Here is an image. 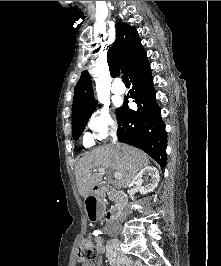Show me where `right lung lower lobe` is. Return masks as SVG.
Segmentation results:
<instances>
[{"mask_svg": "<svg viewBox=\"0 0 221 266\" xmlns=\"http://www.w3.org/2000/svg\"><path fill=\"white\" fill-rule=\"evenodd\" d=\"M129 78L133 86L128 96L134 99L138 108L130 109L128 97H125L124 104L117 109L118 140L142 149L163 168L167 163V137L155 99L150 64L144 62Z\"/></svg>", "mask_w": 221, "mask_h": 266, "instance_id": "98d812e1", "label": "right lung lower lobe"}]
</instances>
